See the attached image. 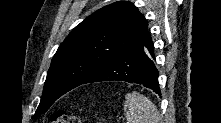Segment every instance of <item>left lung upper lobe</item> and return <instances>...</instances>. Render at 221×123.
<instances>
[{"label": "left lung upper lobe", "instance_id": "1", "mask_svg": "<svg viewBox=\"0 0 221 123\" xmlns=\"http://www.w3.org/2000/svg\"><path fill=\"white\" fill-rule=\"evenodd\" d=\"M147 29L144 16L128 1L112 3L87 17L57 49L34 118L46 112L63 94L83 84L107 62L137 43Z\"/></svg>", "mask_w": 221, "mask_h": 123}]
</instances>
